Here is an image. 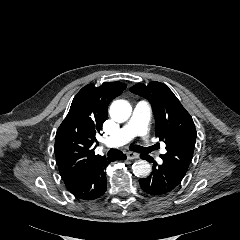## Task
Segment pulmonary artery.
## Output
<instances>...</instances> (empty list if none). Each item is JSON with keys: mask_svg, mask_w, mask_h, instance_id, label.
<instances>
[{"mask_svg": "<svg viewBox=\"0 0 240 240\" xmlns=\"http://www.w3.org/2000/svg\"><path fill=\"white\" fill-rule=\"evenodd\" d=\"M151 110L146 102H139L132 114L130 120L120 128L116 133L110 136L107 141L110 146L122 145L130 141L135 136H140L144 140H147L149 132ZM148 143L145 147L149 148Z\"/></svg>", "mask_w": 240, "mask_h": 240, "instance_id": "obj_1", "label": "pulmonary artery"}]
</instances>
